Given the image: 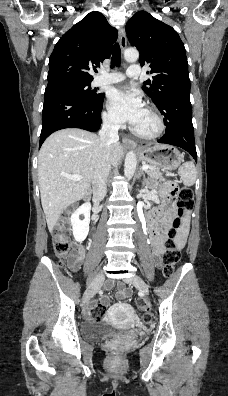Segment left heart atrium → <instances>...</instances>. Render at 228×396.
Listing matches in <instances>:
<instances>
[{"instance_id":"1","label":"left heart atrium","mask_w":228,"mask_h":396,"mask_svg":"<svg viewBox=\"0 0 228 396\" xmlns=\"http://www.w3.org/2000/svg\"><path fill=\"white\" fill-rule=\"evenodd\" d=\"M107 107L111 116L118 122H128L135 126L144 112V104L136 92L114 89L108 96Z\"/></svg>"}]
</instances>
